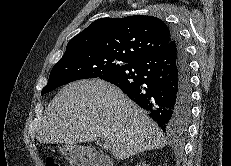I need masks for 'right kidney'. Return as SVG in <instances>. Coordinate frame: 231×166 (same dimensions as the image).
I'll list each match as a JSON object with an SVG mask.
<instances>
[{
    "label": "right kidney",
    "instance_id": "obj_1",
    "mask_svg": "<svg viewBox=\"0 0 231 166\" xmlns=\"http://www.w3.org/2000/svg\"><path fill=\"white\" fill-rule=\"evenodd\" d=\"M136 166H149V165L146 162H142V163L137 164Z\"/></svg>",
    "mask_w": 231,
    "mask_h": 166
}]
</instances>
